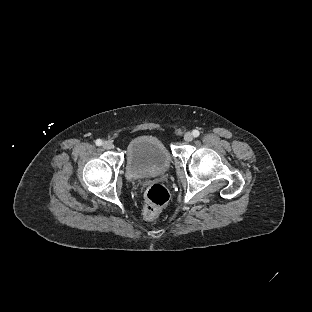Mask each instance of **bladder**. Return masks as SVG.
Returning <instances> with one entry per match:
<instances>
[{
	"mask_svg": "<svg viewBox=\"0 0 312 312\" xmlns=\"http://www.w3.org/2000/svg\"><path fill=\"white\" fill-rule=\"evenodd\" d=\"M171 163V154L156 137L142 136L127 146L126 171L133 178L154 176L169 169Z\"/></svg>",
	"mask_w": 312,
	"mask_h": 312,
	"instance_id": "obj_1",
	"label": "bladder"
}]
</instances>
